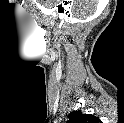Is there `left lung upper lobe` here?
<instances>
[{
  "label": "left lung upper lobe",
  "mask_w": 124,
  "mask_h": 123,
  "mask_svg": "<svg viewBox=\"0 0 124 123\" xmlns=\"http://www.w3.org/2000/svg\"><path fill=\"white\" fill-rule=\"evenodd\" d=\"M69 121L67 123H98L99 118L91 114H83L80 110L71 112L69 114Z\"/></svg>",
  "instance_id": "left-lung-upper-lobe-1"
}]
</instances>
